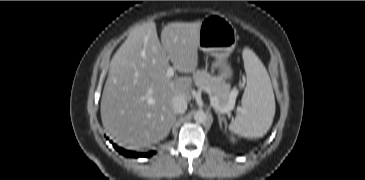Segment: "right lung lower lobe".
Listing matches in <instances>:
<instances>
[{
    "label": "right lung lower lobe",
    "mask_w": 365,
    "mask_h": 180,
    "mask_svg": "<svg viewBox=\"0 0 365 180\" xmlns=\"http://www.w3.org/2000/svg\"><path fill=\"white\" fill-rule=\"evenodd\" d=\"M113 146L115 147V149L122 155L126 156V157H149L150 155L154 154L155 152H151V153H136V152H132V151H128V150H124L118 146H116L115 144H113Z\"/></svg>",
    "instance_id": "1"
}]
</instances>
